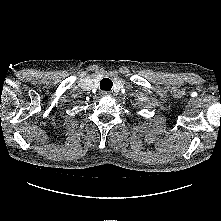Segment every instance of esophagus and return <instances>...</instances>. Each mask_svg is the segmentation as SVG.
<instances>
[{"instance_id": "obj_1", "label": "esophagus", "mask_w": 221, "mask_h": 221, "mask_svg": "<svg viewBox=\"0 0 221 221\" xmlns=\"http://www.w3.org/2000/svg\"><path fill=\"white\" fill-rule=\"evenodd\" d=\"M101 94H102V96H109L110 95V93L107 91H102Z\"/></svg>"}]
</instances>
